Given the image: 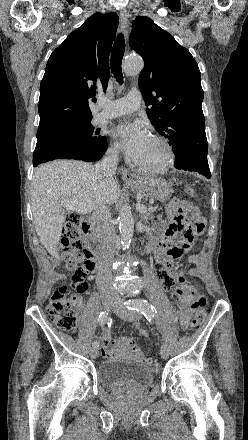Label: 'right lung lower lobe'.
Masks as SVG:
<instances>
[{
  "label": "right lung lower lobe",
  "instance_id": "obj_1",
  "mask_svg": "<svg viewBox=\"0 0 248 440\" xmlns=\"http://www.w3.org/2000/svg\"><path fill=\"white\" fill-rule=\"evenodd\" d=\"M71 124L64 125L59 129H65ZM104 142L98 148L94 149H59L52 146L46 141L37 142L34 155H33V166L36 167L41 163L52 161L55 159H75L82 160L86 162H96L102 158L103 154L107 149V140L104 137Z\"/></svg>",
  "mask_w": 248,
  "mask_h": 440
}]
</instances>
